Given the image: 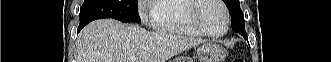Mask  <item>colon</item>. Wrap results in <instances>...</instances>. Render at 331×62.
<instances>
[{
    "mask_svg": "<svg viewBox=\"0 0 331 62\" xmlns=\"http://www.w3.org/2000/svg\"><path fill=\"white\" fill-rule=\"evenodd\" d=\"M232 62H244L243 59H234Z\"/></svg>",
    "mask_w": 331,
    "mask_h": 62,
    "instance_id": "1",
    "label": "colon"
}]
</instances>
